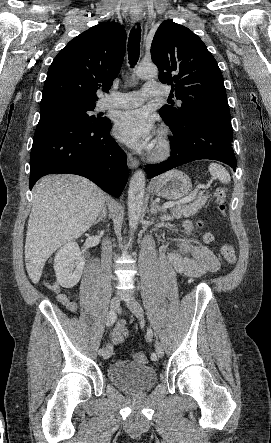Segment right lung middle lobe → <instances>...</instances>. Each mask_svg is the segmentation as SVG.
<instances>
[{"instance_id":"dd1d6c3e","label":"right lung middle lobe","mask_w":271,"mask_h":443,"mask_svg":"<svg viewBox=\"0 0 271 443\" xmlns=\"http://www.w3.org/2000/svg\"><path fill=\"white\" fill-rule=\"evenodd\" d=\"M95 106V103L75 99H57L41 103L39 123L50 119L63 118L89 126H96L102 123L104 119L89 114Z\"/></svg>"}]
</instances>
